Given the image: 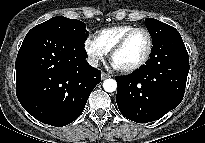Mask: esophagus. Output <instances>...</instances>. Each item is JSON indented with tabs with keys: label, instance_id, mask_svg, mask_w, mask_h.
Here are the masks:
<instances>
[{
	"label": "esophagus",
	"instance_id": "1",
	"mask_svg": "<svg viewBox=\"0 0 205 143\" xmlns=\"http://www.w3.org/2000/svg\"><path fill=\"white\" fill-rule=\"evenodd\" d=\"M102 79L104 80V79H106V78H109V77H111V75L110 74H108V73H106V72H102Z\"/></svg>",
	"mask_w": 205,
	"mask_h": 143
}]
</instances>
